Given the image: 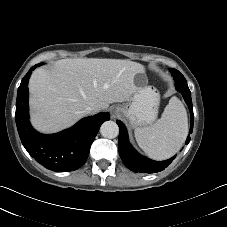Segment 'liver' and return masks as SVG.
<instances>
[{
    "mask_svg": "<svg viewBox=\"0 0 227 227\" xmlns=\"http://www.w3.org/2000/svg\"><path fill=\"white\" fill-rule=\"evenodd\" d=\"M144 66L128 59H61L35 70L29 81L31 122L43 133L70 127L92 106L125 102L137 90L135 76Z\"/></svg>",
    "mask_w": 227,
    "mask_h": 227,
    "instance_id": "obj_1",
    "label": "liver"
}]
</instances>
